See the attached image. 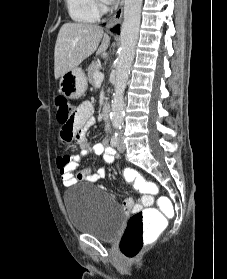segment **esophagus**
<instances>
[{
    "mask_svg": "<svg viewBox=\"0 0 227 279\" xmlns=\"http://www.w3.org/2000/svg\"><path fill=\"white\" fill-rule=\"evenodd\" d=\"M123 8H124V0H121L117 9H116V11H115V13L113 14V16L107 22L106 27H107L108 30L113 28L116 24H118L122 20Z\"/></svg>",
    "mask_w": 227,
    "mask_h": 279,
    "instance_id": "1",
    "label": "esophagus"
}]
</instances>
